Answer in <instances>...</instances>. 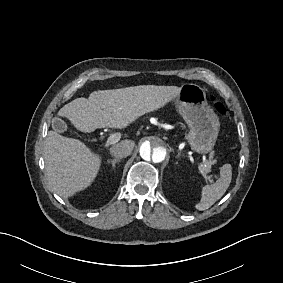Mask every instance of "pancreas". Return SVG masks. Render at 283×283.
Instances as JSON below:
<instances>
[{"label": "pancreas", "instance_id": "pancreas-1", "mask_svg": "<svg viewBox=\"0 0 283 283\" xmlns=\"http://www.w3.org/2000/svg\"><path fill=\"white\" fill-rule=\"evenodd\" d=\"M216 163V160H213V161H210L206 167H201L200 168V171L202 174H205L206 172H209L210 171V168H211V165L212 164H215Z\"/></svg>", "mask_w": 283, "mask_h": 283}]
</instances>
